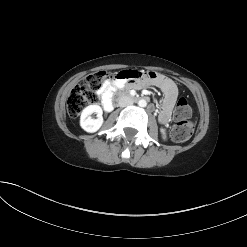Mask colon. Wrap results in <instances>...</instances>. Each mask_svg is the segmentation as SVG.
I'll use <instances>...</instances> for the list:
<instances>
[{
	"label": "colon",
	"instance_id": "1",
	"mask_svg": "<svg viewBox=\"0 0 247 247\" xmlns=\"http://www.w3.org/2000/svg\"><path fill=\"white\" fill-rule=\"evenodd\" d=\"M114 74L108 71L95 72L77 85L67 101L68 114L73 118L78 117L85 107L96 103L98 91L106 81L114 79ZM191 115L192 110L187 100L184 97L179 98L174 110V125L171 131V138L175 142H184L191 137L194 130L192 122L189 121Z\"/></svg>",
	"mask_w": 247,
	"mask_h": 247
}]
</instances>
